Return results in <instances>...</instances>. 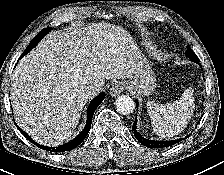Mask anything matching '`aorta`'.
Here are the masks:
<instances>
[{
	"instance_id": "aorta-1",
	"label": "aorta",
	"mask_w": 224,
	"mask_h": 175,
	"mask_svg": "<svg viewBox=\"0 0 224 175\" xmlns=\"http://www.w3.org/2000/svg\"><path fill=\"white\" fill-rule=\"evenodd\" d=\"M115 106L117 111L123 115L131 114L135 109V103L133 99L127 95H121L117 97Z\"/></svg>"
}]
</instances>
